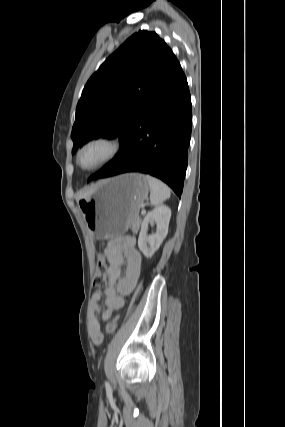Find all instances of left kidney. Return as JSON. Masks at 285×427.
Listing matches in <instances>:
<instances>
[{
  "instance_id": "5707ae66",
  "label": "left kidney",
  "mask_w": 285,
  "mask_h": 427,
  "mask_svg": "<svg viewBox=\"0 0 285 427\" xmlns=\"http://www.w3.org/2000/svg\"><path fill=\"white\" fill-rule=\"evenodd\" d=\"M170 218L171 210L167 206L155 208L145 216L138 237V247L146 258H150L154 255L167 236ZM154 223L157 225V231L151 236H148V226Z\"/></svg>"
}]
</instances>
